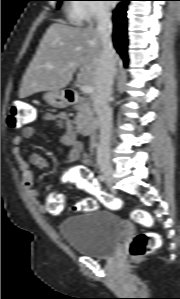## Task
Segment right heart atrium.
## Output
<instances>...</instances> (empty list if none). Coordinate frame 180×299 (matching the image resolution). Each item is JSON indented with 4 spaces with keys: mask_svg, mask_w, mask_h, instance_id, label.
I'll use <instances>...</instances> for the list:
<instances>
[{
    "mask_svg": "<svg viewBox=\"0 0 180 299\" xmlns=\"http://www.w3.org/2000/svg\"><path fill=\"white\" fill-rule=\"evenodd\" d=\"M79 11L82 13L84 20L89 22L101 20L109 14V9L102 0H92L80 7Z\"/></svg>",
    "mask_w": 180,
    "mask_h": 299,
    "instance_id": "d8ad5b80",
    "label": "right heart atrium"
}]
</instances>
